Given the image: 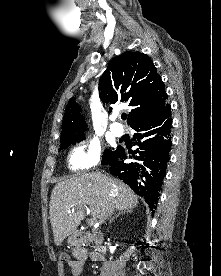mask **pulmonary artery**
Masks as SVG:
<instances>
[{
  "label": "pulmonary artery",
  "mask_w": 221,
  "mask_h": 276,
  "mask_svg": "<svg viewBox=\"0 0 221 276\" xmlns=\"http://www.w3.org/2000/svg\"><path fill=\"white\" fill-rule=\"evenodd\" d=\"M110 129L115 136H122L124 133L122 125L116 122L111 125Z\"/></svg>",
  "instance_id": "e3ab8cb5"
}]
</instances>
